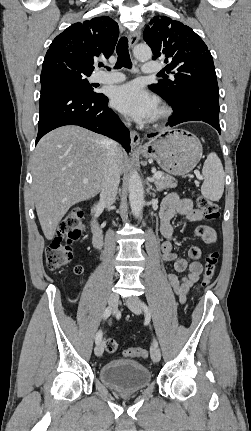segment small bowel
I'll use <instances>...</instances> for the list:
<instances>
[{
    "label": "small bowel",
    "mask_w": 251,
    "mask_h": 431,
    "mask_svg": "<svg viewBox=\"0 0 251 431\" xmlns=\"http://www.w3.org/2000/svg\"><path fill=\"white\" fill-rule=\"evenodd\" d=\"M176 215L183 216L190 222H199L203 219V214L194 207L190 199L180 198L175 193L168 195L161 204L160 231L165 238L161 244L162 260L173 263L177 272L187 270V274L183 277H179L175 273L168 275V282L172 290L178 296L179 301L184 303L190 289L199 280L203 271V265L200 262L202 251L198 246H192L188 251L189 258L192 260L189 264L186 260L178 258L173 252V227L171 220ZM195 232L205 243L212 244L217 240L216 231L210 226L200 225L196 228Z\"/></svg>",
    "instance_id": "obj_1"
}]
</instances>
